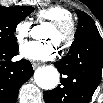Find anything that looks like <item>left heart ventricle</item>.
I'll use <instances>...</instances> for the list:
<instances>
[{"label":"left heart ventricle","mask_w":103,"mask_h":103,"mask_svg":"<svg viewBox=\"0 0 103 103\" xmlns=\"http://www.w3.org/2000/svg\"><path fill=\"white\" fill-rule=\"evenodd\" d=\"M65 34L63 32L58 31L51 25L45 30L43 34V38L47 40H53L58 46L64 39Z\"/></svg>","instance_id":"left-heart-ventricle-1"}]
</instances>
